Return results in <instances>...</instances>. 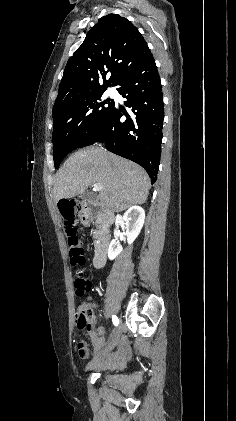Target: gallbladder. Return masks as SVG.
Here are the masks:
<instances>
[{
    "mask_svg": "<svg viewBox=\"0 0 236 421\" xmlns=\"http://www.w3.org/2000/svg\"><path fill=\"white\" fill-rule=\"evenodd\" d=\"M81 198H83V200H85V198H88V194L87 192H82V194H80Z\"/></svg>",
    "mask_w": 236,
    "mask_h": 421,
    "instance_id": "bac80fb5",
    "label": "gallbladder"
}]
</instances>
